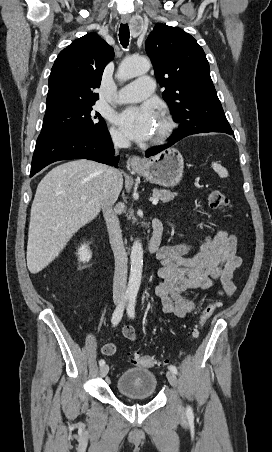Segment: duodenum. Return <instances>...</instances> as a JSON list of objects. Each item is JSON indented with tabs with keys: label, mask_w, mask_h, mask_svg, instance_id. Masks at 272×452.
I'll return each mask as SVG.
<instances>
[{
	"label": "duodenum",
	"mask_w": 272,
	"mask_h": 452,
	"mask_svg": "<svg viewBox=\"0 0 272 452\" xmlns=\"http://www.w3.org/2000/svg\"><path fill=\"white\" fill-rule=\"evenodd\" d=\"M152 229H153V233H152V236H151L149 242L147 243L146 248L149 253H157V252H159V246H160V242L162 240V235H163V230H164L161 219H159V218L153 219Z\"/></svg>",
	"instance_id": "410a0bca"
}]
</instances>
